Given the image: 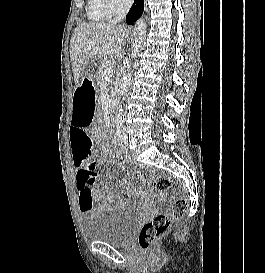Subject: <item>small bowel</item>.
Wrapping results in <instances>:
<instances>
[{"mask_svg": "<svg viewBox=\"0 0 265 273\" xmlns=\"http://www.w3.org/2000/svg\"><path fill=\"white\" fill-rule=\"evenodd\" d=\"M95 91H80L74 94V116L70 125V143L72 157L76 170V191L78 205L81 213L87 219H91L99 209H109L115 204H122L123 199L119 196H110L103 204L96 206L105 198V192L96 188L99 169L95 160V150L87 128L92 123L95 106ZM104 156L109 155L106 147L101 148ZM107 169L103 172L105 173ZM96 188V189H95ZM137 193V191H133Z\"/></svg>", "mask_w": 265, "mask_h": 273, "instance_id": "obj_1", "label": "small bowel"}]
</instances>
